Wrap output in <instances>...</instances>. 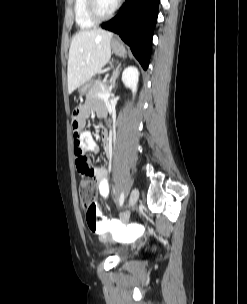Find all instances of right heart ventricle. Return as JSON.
<instances>
[{"label":"right heart ventricle","instance_id":"e07e8e85","mask_svg":"<svg viewBox=\"0 0 247 304\" xmlns=\"http://www.w3.org/2000/svg\"><path fill=\"white\" fill-rule=\"evenodd\" d=\"M86 4L87 0H75L74 3L75 22L81 29H89L96 24L88 17Z\"/></svg>","mask_w":247,"mask_h":304}]
</instances>
